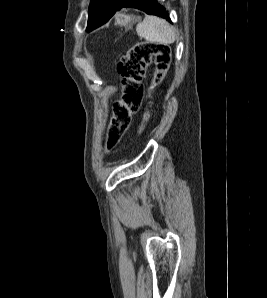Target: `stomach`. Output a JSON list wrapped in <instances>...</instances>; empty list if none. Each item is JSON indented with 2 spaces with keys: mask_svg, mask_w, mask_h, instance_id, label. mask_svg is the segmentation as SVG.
Masks as SVG:
<instances>
[{
  "mask_svg": "<svg viewBox=\"0 0 267 298\" xmlns=\"http://www.w3.org/2000/svg\"><path fill=\"white\" fill-rule=\"evenodd\" d=\"M136 21L133 15L119 13L115 16V24L120 26H129Z\"/></svg>",
  "mask_w": 267,
  "mask_h": 298,
  "instance_id": "obj_1",
  "label": "stomach"
}]
</instances>
